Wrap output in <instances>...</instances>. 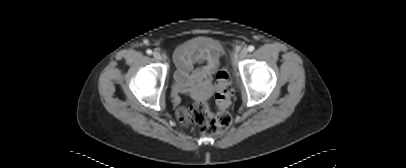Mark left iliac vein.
I'll return each instance as SVG.
<instances>
[{
  "instance_id": "obj_1",
  "label": "left iliac vein",
  "mask_w": 406,
  "mask_h": 168,
  "mask_svg": "<svg viewBox=\"0 0 406 168\" xmlns=\"http://www.w3.org/2000/svg\"><path fill=\"white\" fill-rule=\"evenodd\" d=\"M247 54H248V50L246 48L242 49L240 51V53L238 54V56L236 57V60L245 58L247 56Z\"/></svg>"
}]
</instances>
